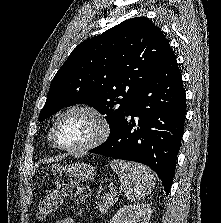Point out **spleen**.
I'll use <instances>...</instances> for the list:
<instances>
[{
    "mask_svg": "<svg viewBox=\"0 0 221 223\" xmlns=\"http://www.w3.org/2000/svg\"><path fill=\"white\" fill-rule=\"evenodd\" d=\"M110 167L118 175L128 200L135 202L152 192L155 178L146 166L122 160H111Z\"/></svg>",
    "mask_w": 221,
    "mask_h": 223,
    "instance_id": "3e777b00",
    "label": "spleen"
}]
</instances>
